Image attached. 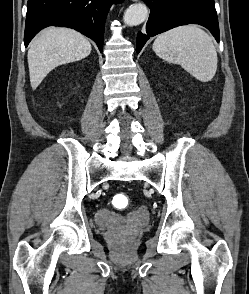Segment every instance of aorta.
<instances>
[{
	"mask_svg": "<svg viewBox=\"0 0 249 294\" xmlns=\"http://www.w3.org/2000/svg\"><path fill=\"white\" fill-rule=\"evenodd\" d=\"M148 16V9L142 3L130 6L124 13L123 21L128 26H136L143 23Z\"/></svg>",
	"mask_w": 249,
	"mask_h": 294,
	"instance_id": "aorta-1",
	"label": "aorta"
}]
</instances>
